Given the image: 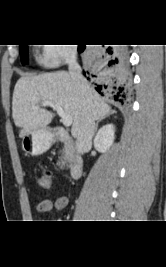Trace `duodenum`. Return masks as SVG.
Segmentation results:
<instances>
[{
	"label": "duodenum",
	"mask_w": 166,
	"mask_h": 267,
	"mask_svg": "<svg viewBox=\"0 0 166 267\" xmlns=\"http://www.w3.org/2000/svg\"><path fill=\"white\" fill-rule=\"evenodd\" d=\"M52 139L54 141L64 142L68 145L70 154L69 176L71 179H78L83 172L84 162L82 157L74 151V139L68 131L63 128H54L52 131Z\"/></svg>",
	"instance_id": "duodenum-1"
}]
</instances>
